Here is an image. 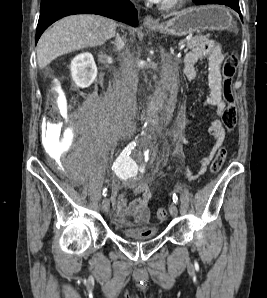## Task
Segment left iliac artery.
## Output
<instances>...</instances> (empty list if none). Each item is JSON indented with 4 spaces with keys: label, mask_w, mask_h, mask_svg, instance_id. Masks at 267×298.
I'll return each instance as SVG.
<instances>
[{
    "label": "left iliac artery",
    "mask_w": 267,
    "mask_h": 298,
    "mask_svg": "<svg viewBox=\"0 0 267 298\" xmlns=\"http://www.w3.org/2000/svg\"><path fill=\"white\" fill-rule=\"evenodd\" d=\"M173 202H174L175 204L178 203V197H177V195H176L175 193H173Z\"/></svg>",
    "instance_id": "left-iliac-artery-1"
}]
</instances>
